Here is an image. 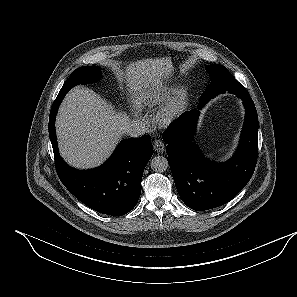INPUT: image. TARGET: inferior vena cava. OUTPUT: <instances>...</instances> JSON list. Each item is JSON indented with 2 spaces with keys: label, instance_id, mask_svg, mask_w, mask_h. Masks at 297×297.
<instances>
[{
  "label": "inferior vena cava",
  "instance_id": "1",
  "mask_svg": "<svg viewBox=\"0 0 297 297\" xmlns=\"http://www.w3.org/2000/svg\"><path fill=\"white\" fill-rule=\"evenodd\" d=\"M124 132L131 137L137 138L146 132V125L140 120H132L125 126Z\"/></svg>",
  "mask_w": 297,
  "mask_h": 297
}]
</instances>
